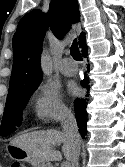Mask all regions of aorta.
I'll list each match as a JSON object with an SVG mask.
<instances>
[{
	"mask_svg": "<svg viewBox=\"0 0 125 167\" xmlns=\"http://www.w3.org/2000/svg\"><path fill=\"white\" fill-rule=\"evenodd\" d=\"M42 69H43L44 75H46V76L51 75L52 66H51L50 59L47 55L42 56Z\"/></svg>",
	"mask_w": 125,
	"mask_h": 167,
	"instance_id": "762f6f07",
	"label": "aorta"
}]
</instances>
